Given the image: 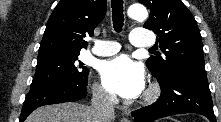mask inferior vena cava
<instances>
[{
  "mask_svg": "<svg viewBox=\"0 0 221 122\" xmlns=\"http://www.w3.org/2000/svg\"><path fill=\"white\" fill-rule=\"evenodd\" d=\"M92 97V113L94 122H110L114 114L115 96L109 94L102 88H94Z\"/></svg>",
  "mask_w": 221,
  "mask_h": 122,
  "instance_id": "obj_1",
  "label": "inferior vena cava"
}]
</instances>
